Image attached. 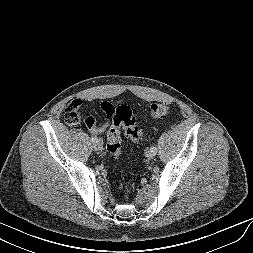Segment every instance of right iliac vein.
<instances>
[{
    "label": "right iliac vein",
    "instance_id": "obj_1",
    "mask_svg": "<svg viewBox=\"0 0 253 253\" xmlns=\"http://www.w3.org/2000/svg\"><path fill=\"white\" fill-rule=\"evenodd\" d=\"M93 148L95 151H101L103 149V141L101 139H96L93 142Z\"/></svg>",
    "mask_w": 253,
    "mask_h": 253
}]
</instances>
